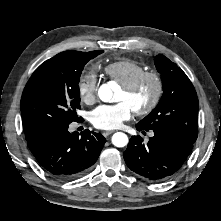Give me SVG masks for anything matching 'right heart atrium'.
<instances>
[{"instance_id": "right-heart-atrium-1", "label": "right heart atrium", "mask_w": 221, "mask_h": 221, "mask_svg": "<svg viewBox=\"0 0 221 221\" xmlns=\"http://www.w3.org/2000/svg\"><path fill=\"white\" fill-rule=\"evenodd\" d=\"M97 88V75L94 71H87L79 77L77 91L82 102L93 103L96 100Z\"/></svg>"}]
</instances>
